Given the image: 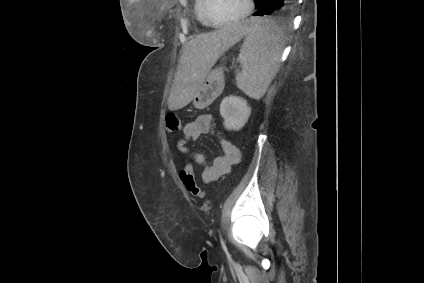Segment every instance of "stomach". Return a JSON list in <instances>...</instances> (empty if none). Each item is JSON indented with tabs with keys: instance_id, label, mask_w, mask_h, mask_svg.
<instances>
[{
	"instance_id": "1",
	"label": "stomach",
	"mask_w": 424,
	"mask_h": 283,
	"mask_svg": "<svg viewBox=\"0 0 424 283\" xmlns=\"http://www.w3.org/2000/svg\"><path fill=\"white\" fill-rule=\"evenodd\" d=\"M221 70L216 69L209 71L201 83L195 97L193 98V105L197 108H202L205 104L202 101L203 96L210 90L211 86L217 81L218 74ZM221 82V80H220Z\"/></svg>"
}]
</instances>
